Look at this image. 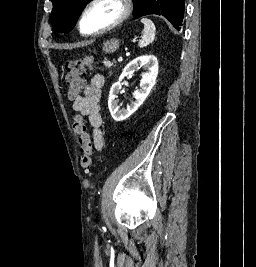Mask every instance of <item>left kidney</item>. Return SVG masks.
Returning a JSON list of instances; mask_svg holds the SVG:
<instances>
[{
  "label": "left kidney",
  "instance_id": "left-kidney-1",
  "mask_svg": "<svg viewBox=\"0 0 256 267\" xmlns=\"http://www.w3.org/2000/svg\"><path fill=\"white\" fill-rule=\"evenodd\" d=\"M139 68H145L146 70L140 80V90H135L133 94L135 100L131 102L130 106H127L126 110H119V100H116V98L122 88L121 82L124 78H126V76H130V74L137 72ZM158 70V60L155 56H152V54L139 56V58H135V60H132V62H129V64L125 66L121 76H119L118 82L112 84L109 92L108 108L115 122H122V120H126V118H129L131 114H134V112L140 108L141 104H143L144 100H146L147 96H149L153 86L156 84Z\"/></svg>",
  "mask_w": 256,
  "mask_h": 267
}]
</instances>
